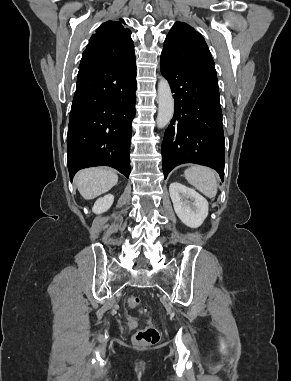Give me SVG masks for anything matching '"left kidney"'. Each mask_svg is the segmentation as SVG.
Instances as JSON below:
<instances>
[{
    "instance_id": "5707ae66",
    "label": "left kidney",
    "mask_w": 291,
    "mask_h": 381,
    "mask_svg": "<svg viewBox=\"0 0 291 381\" xmlns=\"http://www.w3.org/2000/svg\"><path fill=\"white\" fill-rule=\"evenodd\" d=\"M175 213L190 228H198L208 215L207 200L194 189L178 182L169 186Z\"/></svg>"
}]
</instances>
